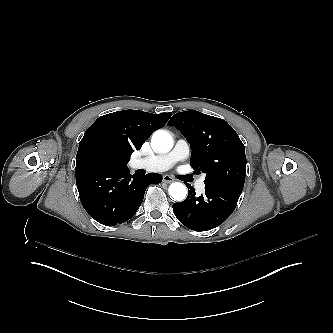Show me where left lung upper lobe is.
I'll return each mask as SVG.
<instances>
[{
	"label": "left lung upper lobe",
	"mask_w": 333,
	"mask_h": 333,
	"mask_svg": "<svg viewBox=\"0 0 333 333\" xmlns=\"http://www.w3.org/2000/svg\"><path fill=\"white\" fill-rule=\"evenodd\" d=\"M190 143V164L206 174L205 184L243 189L246 175L245 147L235 130L223 119L198 111L176 113L168 122Z\"/></svg>",
	"instance_id": "1"
}]
</instances>
